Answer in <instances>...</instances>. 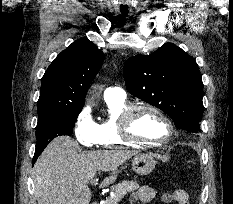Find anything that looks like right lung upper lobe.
Wrapping results in <instances>:
<instances>
[{
  "label": "right lung upper lobe",
  "instance_id": "right-lung-upper-lobe-1",
  "mask_svg": "<svg viewBox=\"0 0 233 204\" xmlns=\"http://www.w3.org/2000/svg\"><path fill=\"white\" fill-rule=\"evenodd\" d=\"M103 60L104 54L88 39H79L63 50L42 78L38 116L82 110L88 85Z\"/></svg>",
  "mask_w": 233,
  "mask_h": 204
}]
</instances>
